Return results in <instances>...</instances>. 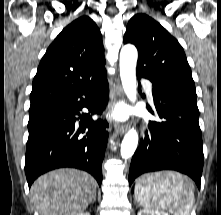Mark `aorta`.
Instances as JSON below:
<instances>
[{
	"label": "aorta",
	"instance_id": "1",
	"mask_svg": "<svg viewBox=\"0 0 221 215\" xmlns=\"http://www.w3.org/2000/svg\"><path fill=\"white\" fill-rule=\"evenodd\" d=\"M138 52L135 46L125 45L120 52V77L123 89L131 102L136 101V64ZM138 145V133L136 129H130L121 144L120 154L123 159L130 158Z\"/></svg>",
	"mask_w": 221,
	"mask_h": 215
}]
</instances>
